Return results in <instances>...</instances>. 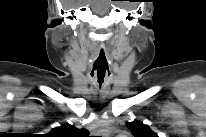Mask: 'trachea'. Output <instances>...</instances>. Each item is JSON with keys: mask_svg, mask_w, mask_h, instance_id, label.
Here are the masks:
<instances>
[{"mask_svg": "<svg viewBox=\"0 0 206 137\" xmlns=\"http://www.w3.org/2000/svg\"><path fill=\"white\" fill-rule=\"evenodd\" d=\"M106 68H108V64L106 62L103 51H101L99 58L94 64V69H97V82L100 87L102 83L104 82Z\"/></svg>", "mask_w": 206, "mask_h": 137, "instance_id": "obj_1", "label": "trachea"}]
</instances>
